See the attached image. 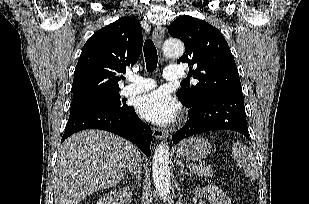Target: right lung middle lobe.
Listing matches in <instances>:
<instances>
[{
    "mask_svg": "<svg viewBox=\"0 0 309 204\" xmlns=\"http://www.w3.org/2000/svg\"><path fill=\"white\" fill-rule=\"evenodd\" d=\"M127 108V105L122 104L118 92L93 98L87 101L74 103L71 105L70 113L89 110V109H103L114 112H122Z\"/></svg>",
    "mask_w": 309,
    "mask_h": 204,
    "instance_id": "dd1d6c3e",
    "label": "right lung middle lobe"
}]
</instances>
